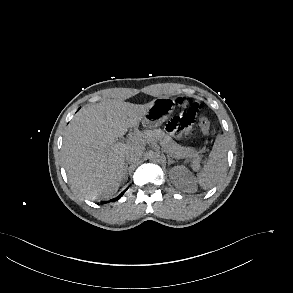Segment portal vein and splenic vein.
<instances>
[{
	"instance_id": "portal-vein-and-splenic-vein-1",
	"label": "portal vein and splenic vein",
	"mask_w": 293,
	"mask_h": 293,
	"mask_svg": "<svg viewBox=\"0 0 293 293\" xmlns=\"http://www.w3.org/2000/svg\"><path fill=\"white\" fill-rule=\"evenodd\" d=\"M144 138H146V136L144 134H141V135H134V136H131L129 139H128V142L129 143H133V142H139V141H142Z\"/></svg>"
}]
</instances>
